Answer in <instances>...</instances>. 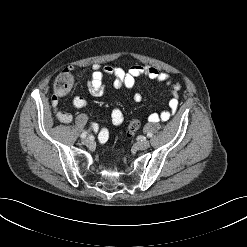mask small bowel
<instances>
[{
	"label": "small bowel",
	"instance_id": "obj_1",
	"mask_svg": "<svg viewBox=\"0 0 247 247\" xmlns=\"http://www.w3.org/2000/svg\"><path fill=\"white\" fill-rule=\"evenodd\" d=\"M70 71H74V67L69 68ZM113 78V86L115 88H124L126 90H133L136 80L140 77H147L156 82L164 83L169 86V94L171 96L169 100V109L162 111L161 113H153L149 115V122H157L159 120L166 121L172 117L175 113L178 105V91L180 89L179 83H173L168 73L158 70L154 66L150 65H134L128 70H124L116 66H102L100 64H94L90 77L87 81V91L93 97L102 96L105 91L104 80L106 78ZM135 102L140 103L143 97L140 93H135L133 96ZM54 108L55 117L62 123L72 122V115L66 112L57 110V103H52ZM72 105L75 108H85L88 106V101L85 97L76 96L72 100ZM110 119L112 123L119 126L124 121V115L121 109L114 108L110 113ZM92 129L98 133L99 141L105 143L109 138V130L105 127L100 128L97 124H92Z\"/></svg>",
	"mask_w": 247,
	"mask_h": 247
}]
</instances>
